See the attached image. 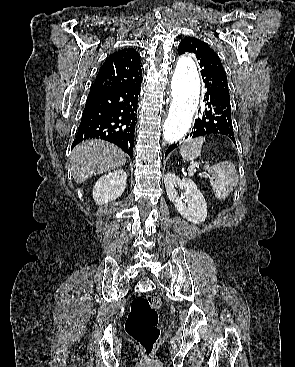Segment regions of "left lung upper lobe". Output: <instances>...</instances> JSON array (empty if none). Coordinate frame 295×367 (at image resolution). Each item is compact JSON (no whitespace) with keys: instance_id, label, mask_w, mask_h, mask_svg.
Returning <instances> with one entry per match:
<instances>
[{"instance_id":"5c2ea615","label":"left lung upper lobe","mask_w":295,"mask_h":367,"mask_svg":"<svg viewBox=\"0 0 295 367\" xmlns=\"http://www.w3.org/2000/svg\"><path fill=\"white\" fill-rule=\"evenodd\" d=\"M193 53L200 61L201 75L205 87L229 93L227 76L218 55L203 41L195 37H184L178 54Z\"/></svg>"}]
</instances>
